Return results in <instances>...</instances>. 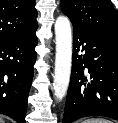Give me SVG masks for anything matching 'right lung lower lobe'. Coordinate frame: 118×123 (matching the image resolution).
<instances>
[{
    "label": "right lung lower lobe",
    "mask_w": 118,
    "mask_h": 123,
    "mask_svg": "<svg viewBox=\"0 0 118 123\" xmlns=\"http://www.w3.org/2000/svg\"><path fill=\"white\" fill-rule=\"evenodd\" d=\"M35 32L0 42V114L13 118L17 123H25L37 56Z\"/></svg>",
    "instance_id": "1"
}]
</instances>
